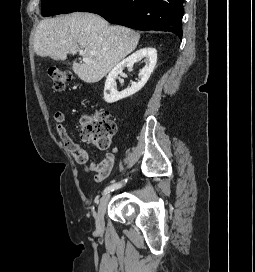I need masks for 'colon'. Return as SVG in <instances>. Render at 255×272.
I'll return each mask as SVG.
<instances>
[{
	"label": "colon",
	"mask_w": 255,
	"mask_h": 272,
	"mask_svg": "<svg viewBox=\"0 0 255 272\" xmlns=\"http://www.w3.org/2000/svg\"><path fill=\"white\" fill-rule=\"evenodd\" d=\"M48 76L52 80L53 89L56 92L63 91L71 81V73L63 68L49 69ZM115 131L116 123L108 113H100L93 118H82L80 126L81 137L100 150H106L110 147Z\"/></svg>",
	"instance_id": "5ec220e1"
}]
</instances>
